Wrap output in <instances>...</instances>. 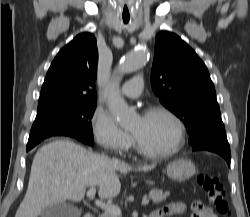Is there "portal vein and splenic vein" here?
Wrapping results in <instances>:
<instances>
[{"instance_id":"obj_1","label":"portal vein and splenic vein","mask_w":250,"mask_h":217,"mask_svg":"<svg viewBox=\"0 0 250 217\" xmlns=\"http://www.w3.org/2000/svg\"><path fill=\"white\" fill-rule=\"evenodd\" d=\"M96 194V189L94 186L90 187V189L87 191V197L90 199H93ZM96 206L100 207L101 209H104L105 211L112 213V214H121V209L117 205L105 203L101 200H96L95 201ZM143 206L149 204V200L144 198L141 202Z\"/></svg>"}]
</instances>
